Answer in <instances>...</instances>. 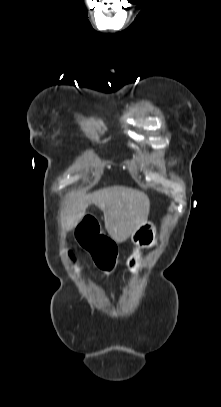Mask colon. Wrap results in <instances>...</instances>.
Listing matches in <instances>:
<instances>
[{
  "instance_id": "5ec220e1",
  "label": "colon",
  "mask_w": 221,
  "mask_h": 407,
  "mask_svg": "<svg viewBox=\"0 0 221 407\" xmlns=\"http://www.w3.org/2000/svg\"><path fill=\"white\" fill-rule=\"evenodd\" d=\"M98 222V216H83V225H80L78 230H73L72 236L73 239L82 240L100 269L110 271L115 264L116 250L110 239L101 236Z\"/></svg>"
}]
</instances>
